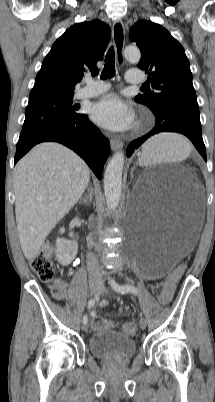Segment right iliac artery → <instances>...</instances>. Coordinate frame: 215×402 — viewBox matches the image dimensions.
Wrapping results in <instances>:
<instances>
[{
  "instance_id": "right-iliac-artery-1",
  "label": "right iliac artery",
  "mask_w": 215,
  "mask_h": 402,
  "mask_svg": "<svg viewBox=\"0 0 215 402\" xmlns=\"http://www.w3.org/2000/svg\"><path fill=\"white\" fill-rule=\"evenodd\" d=\"M100 296V291L98 290L97 293L95 294L94 298H92L89 302H88V308H92L95 304V302L99 299ZM88 321V317L87 315L83 316V323H87Z\"/></svg>"
}]
</instances>
